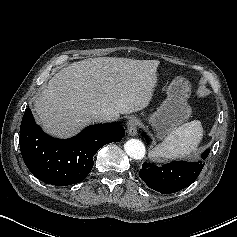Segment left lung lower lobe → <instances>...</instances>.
<instances>
[{
	"label": "left lung lower lobe",
	"instance_id": "0a47b994",
	"mask_svg": "<svg viewBox=\"0 0 237 237\" xmlns=\"http://www.w3.org/2000/svg\"><path fill=\"white\" fill-rule=\"evenodd\" d=\"M146 140L147 136L143 133ZM210 150L202 153V160L197 162L174 161L162 167L143 163L139 172L140 178L153 190L162 194H170L191 185L199 176L204 166V161Z\"/></svg>",
	"mask_w": 237,
	"mask_h": 237
}]
</instances>
